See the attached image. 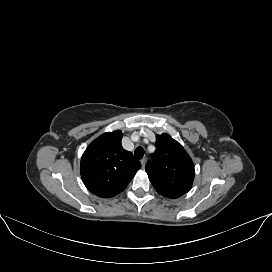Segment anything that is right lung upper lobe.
<instances>
[{
	"mask_svg": "<svg viewBox=\"0 0 272 272\" xmlns=\"http://www.w3.org/2000/svg\"><path fill=\"white\" fill-rule=\"evenodd\" d=\"M122 132H107L89 144L81 158V177L93 194L110 198L122 192L141 168L122 148Z\"/></svg>",
	"mask_w": 272,
	"mask_h": 272,
	"instance_id": "1",
	"label": "right lung upper lobe"
}]
</instances>
